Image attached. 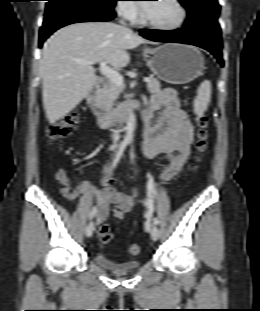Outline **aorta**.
<instances>
[{
	"label": "aorta",
	"instance_id": "aorta-1",
	"mask_svg": "<svg viewBox=\"0 0 260 311\" xmlns=\"http://www.w3.org/2000/svg\"><path fill=\"white\" fill-rule=\"evenodd\" d=\"M135 127H136V118L135 115L131 113L127 121L125 141L127 142L132 141Z\"/></svg>",
	"mask_w": 260,
	"mask_h": 311
}]
</instances>
